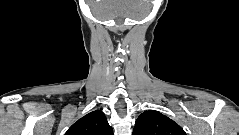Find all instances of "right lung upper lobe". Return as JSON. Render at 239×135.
<instances>
[{
	"mask_svg": "<svg viewBox=\"0 0 239 135\" xmlns=\"http://www.w3.org/2000/svg\"><path fill=\"white\" fill-rule=\"evenodd\" d=\"M65 135H113V129L105 114L100 110H95L80 118Z\"/></svg>",
	"mask_w": 239,
	"mask_h": 135,
	"instance_id": "right-lung-upper-lobe-1",
	"label": "right lung upper lobe"
}]
</instances>
